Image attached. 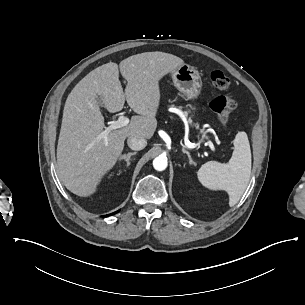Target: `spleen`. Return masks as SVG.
<instances>
[{
	"mask_svg": "<svg viewBox=\"0 0 305 305\" xmlns=\"http://www.w3.org/2000/svg\"><path fill=\"white\" fill-rule=\"evenodd\" d=\"M251 175V150L247 134L239 131L233 140L229 164L209 161L197 171L198 182L210 191H224L233 207L247 188Z\"/></svg>",
	"mask_w": 305,
	"mask_h": 305,
	"instance_id": "spleen-1",
	"label": "spleen"
}]
</instances>
